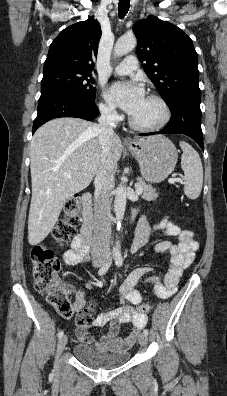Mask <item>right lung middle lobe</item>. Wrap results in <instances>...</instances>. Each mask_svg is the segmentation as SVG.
Wrapping results in <instances>:
<instances>
[{
	"instance_id": "obj_1",
	"label": "right lung middle lobe",
	"mask_w": 227,
	"mask_h": 396,
	"mask_svg": "<svg viewBox=\"0 0 227 396\" xmlns=\"http://www.w3.org/2000/svg\"><path fill=\"white\" fill-rule=\"evenodd\" d=\"M90 72L71 69H51L43 72L41 96L65 93L71 96L95 102L96 88Z\"/></svg>"
}]
</instances>
